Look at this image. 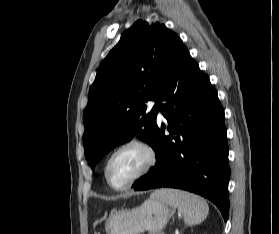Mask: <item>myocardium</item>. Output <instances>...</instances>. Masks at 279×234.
I'll return each instance as SVG.
<instances>
[{
    "instance_id": "f54148a6",
    "label": "myocardium",
    "mask_w": 279,
    "mask_h": 234,
    "mask_svg": "<svg viewBox=\"0 0 279 234\" xmlns=\"http://www.w3.org/2000/svg\"><path fill=\"white\" fill-rule=\"evenodd\" d=\"M128 148L140 149L145 155V163L141 167V169L134 176H132L128 181H126L125 183H122L120 185H116V184L112 183L109 178L110 164L119 153H121L122 151H124ZM156 160H157L156 151L151 144H149L148 142H146L142 139H139V138L129 139V140L123 142L122 144H120L116 149H114V151L108 157L106 164H105V169H104L105 179H106L108 185L111 186L113 189H116V190L127 189V188L131 187L134 183L139 181L141 178H143L153 168V166L156 163Z\"/></svg>"
}]
</instances>
